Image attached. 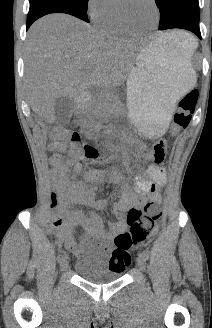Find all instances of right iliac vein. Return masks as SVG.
Masks as SVG:
<instances>
[{
	"mask_svg": "<svg viewBox=\"0 0 212 328\" xmlns=\"http://www.w3.org/2000/svg\"><path fill=\"white\" fill-rule=\"evenodd\" d=\"M68 268V262L65 258L60 262V270L65 271Z\"/></svg>",
	"mask_w": 212,
	"mask_h": 328,
	"instance_id": "right-iliac-vein-1",
	"label": "right iliac vein"
}]
</instances>
